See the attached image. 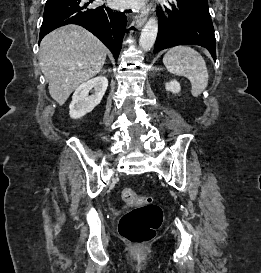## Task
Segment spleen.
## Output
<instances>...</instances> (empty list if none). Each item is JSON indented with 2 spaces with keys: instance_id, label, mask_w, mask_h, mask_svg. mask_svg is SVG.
I'll list each match as a JSON object with an SVG mask.
<instances>
[{
  "instance_id": "3e777b00",
  "label": "spleen",
  "mask_w": 261,
  "mask_h": 273,
  "mask_svg": "<svg viewBox=\"0 0 261 273\" xmlns=\"http://www.w3.org/2000/svg\"><path fill=\"white\" fill-rule=\"evenodd\" d=\"M166 69L177 76H184L191 82V94L198 97L208 85V70L202 55L195 49L179 45L167 51L163 57Z\"/></svg>"
}]
</instances>
